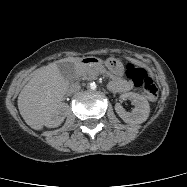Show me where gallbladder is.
<instances>
[{
    "mask_svg": "<svg viewBox=\"0 0 187 187\" xmlns=\"http://www.w3.org/2000/svg\"><path fill=\"white\" fill-rule=\"evenodd\" d=\"M57 66H58V69H59L60 73L65 78H69L72 75L73 70H74V66L71 62H67V61L59 62L57 64Z\"/></svg>",
    "mask_w": 187,
    "mask_h": 187,
    "instance_id": "gallbladder-1",
    "label": "gallbladder"
}]
</instances>
